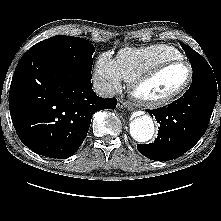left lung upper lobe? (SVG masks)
Wrapping results in <instances>:
<instances>
[{"label":"left lung upper lobe","instance_id":"left-lung-upper-lobe-1","mask_svg":"<svg viewBox=\"0 0 221 221\" xmlns=\"http://www.w3.org/2000/svg\"><path fill=\"white\" fill-rule=\"evenodd\" d=\"M181 46L191 62L193 81L215 74L214 70H212L213 67L211 68L208 62L200 54L186 44H182Z\"/></svg>","mask_w":221,"mask_h":221}]
</instances>
